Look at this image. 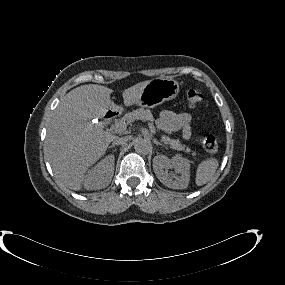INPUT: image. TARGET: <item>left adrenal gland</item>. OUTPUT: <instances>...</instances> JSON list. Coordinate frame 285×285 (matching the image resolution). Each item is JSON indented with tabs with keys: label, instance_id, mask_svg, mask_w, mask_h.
I'll return each instance as SVG.
<instances>
[{
	"label": "left adrenal gland",
	"instance_id": "a2214340",
	"mask_svg": "<svg viewBox=\"0 0 285 285\" xmlns=\"http://www.w3.org/2000/svg\"><path fill=\"white\" fill-rule=\"evenodd\" d=\"M154 143H155V145H160V146L165 147L162 143L158 142L157 140H154Z\"/></svg>",
	"mask_w": 285,
	"mask_h": 285
}]
</instances>
